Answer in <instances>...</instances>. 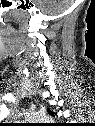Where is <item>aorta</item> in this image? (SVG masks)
I'll list each match as a JSON object with an SVG mask.
<instances>
[{"mask_svg":"<svg viewBox=\"0 0 95 126\" xmlns=\"http://www.w3.org/2000/svg\"><path fill=\"white\" fill-rule=\"evenodd\" d=\"M29 120L30 121H38V122H47L49 123L50 121H52V119L47 116V115H41V114H32L31 116H29Z\"/></svg>","mask_w":95,"mask_h":126,"instance_id":"aorta-1","label":"aorta"}]
</instances>
